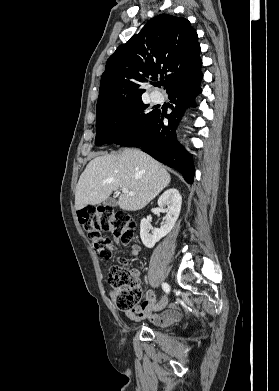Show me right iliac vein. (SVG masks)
Here are the masks:
<instances>
[{
	"instance_id": "obj_1",
	"label": "right iliac vein",
	"mask_w": 279,
	"mask_h": 391,
	"mask_svg": "<svg viewBox=\"0 0 279 391\" xmlns=\"http://www.w3.org/2000/svg\"><path fill=\"white\" fill-rule=\"evenodd\" d=\"M167 303H168L167 296L162 297V299L159 301V303L154 307V310L155 311L162 310L163 308H165Z\"/></svg>"
}]
</instances>
